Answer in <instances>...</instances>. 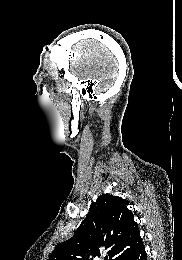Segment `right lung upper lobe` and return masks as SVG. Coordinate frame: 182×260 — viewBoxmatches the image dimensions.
Wrapping results in <instances>:
<instances>
[{"instance_id": "cb5924a9", "label": "right lung upper lobe", "mask_w": 182, "mask_h": 260, "mask_svg": "<svg viewBox=\"0 0 182 260\" xmlns=\"http://www.w3.org/2000/svg\"><path fill=\"white\" fill-rule=\"evenodd\" d=\"M128 202L118 196L101 195L90 206L87 217L74 235L58 244L49 260H88L108 250L109 260L117 258L141 239Z\"/></svg>"}]
</instances>
